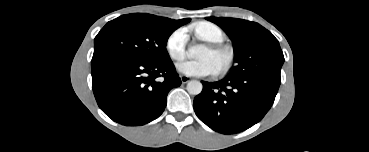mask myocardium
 <instances>
[{"instance_id": "myocardium-1", "label": "myocardium", "mask_w": 369, "mask_h": 152, "mask_svg": "<svg viewBox=\"0 0 369 152\" xmlns=\"http://www.w3.org/2000/svg\"><path fill=\"white\" fill-rule=\"evenodd\" d=\"M210 49L214 54H216L221 59V63L217 68V73L223 74L227 72L233 64L234 60L233 50L229 46L222 45L219 43H212L210 45Z\"/></svg>"}]
</instances>
